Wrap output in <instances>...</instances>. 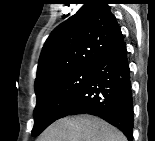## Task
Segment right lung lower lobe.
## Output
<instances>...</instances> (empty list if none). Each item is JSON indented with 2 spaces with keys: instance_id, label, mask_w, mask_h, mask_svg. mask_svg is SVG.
<instances>
[{
  "instance_id": "right-lung-lower-lobe-1",
  "label": "right lung lower lobe",
  "mask_w": 155,
  "mask_h": 141,
  "mask_svg": "<svg viewBox=\"0 0 155 141\" xmlns=\"http://www.w3.org/2000/svg\"><path fill=\"white\" fill-rule=\"evenodd\" d=\"M85 113L105 119L132 140V86L122 35L100 58L84 87L59 118Z\"/></svg>"
}]
</instances>
